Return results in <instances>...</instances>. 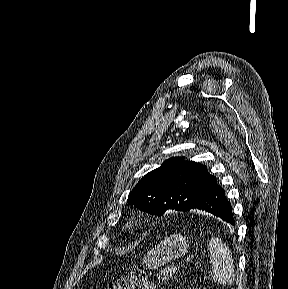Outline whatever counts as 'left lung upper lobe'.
I'll use <instances>...</instances> for the list:
<instances>
[{"instance_id":"left-lung-upper-lobe-1","label":"left lung upper lobe","mask_w":288,"mask_h":289,"mask_svg":"<svg viewBox=\"0 0 288 289\" xmlns=\"http://www.w3.org/2000/svg\"><path fill=\"white\" fill-rule=\"evenodd\" d=\"M172 157L147 173L130 192L128 203L141 211L162 216L165 211H189L215 183L207 167Z\"/></svg>"}]
</instances>
